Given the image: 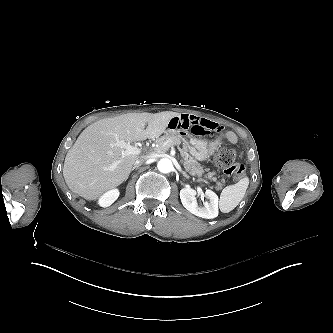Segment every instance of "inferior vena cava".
Instances as JSON below:
<instances>
[{"label":"inferior vena cava","mask_w":333,"mask_h":333,"mask_svg":"<svg viewBox=\"0 0 333 333\" xmlns=\"http://www.w3.org/2000/svg\"><path fill=\"white\" fill-rule=\"evenodd\" d=\"M148 160V158L142 157L139 160H136L134 163V166L139 167L141 166L144 162H146Z\"/></svg>","instance_id":"602c4592"}]
</instances>
